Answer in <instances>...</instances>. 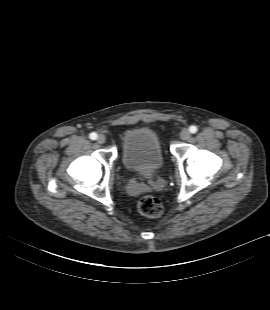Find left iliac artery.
I'll use <instances>...</instances> for the list:
<instances>
[{
    "label": "left iliac artery",
    "instance_id": "44dca946",
    "mask_svg": "<svg viewBox=\"0 0 270 310\" xmlns=\"http://www.w3.org/2000/svg\"><path fill=\"white\" fill-rule=\"evenodd\" d=\"M197 130H198L197 127L194 126V125L190 126V128H189V131H190L191 133H196Z\"/></svg>",
    "mask_w": 270,
    "mask_h": 310
}]
</instances>
